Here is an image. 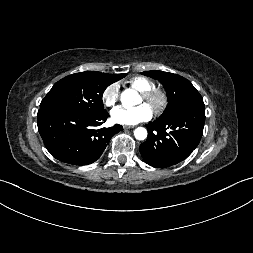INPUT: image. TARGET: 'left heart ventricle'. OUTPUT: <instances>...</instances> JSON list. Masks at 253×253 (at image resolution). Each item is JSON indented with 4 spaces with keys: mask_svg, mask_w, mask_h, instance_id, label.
<instances>
[{
    "mask_svg": "<svg viewBox=\"0 0 253 253\" xmlns=\"http://www.w3.org/2000/svg\"><path fill=\"white\" fill-rule=\"evenodd\" d=\"M142 102H144V100H143L142 96H140L139 103H142Z\"/></svg>",
    "mask_w": 253,
    "mask_h": 253,
    "instance_id": "1",
    "label": "left heart ventricle"
}]
</instances>
